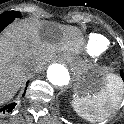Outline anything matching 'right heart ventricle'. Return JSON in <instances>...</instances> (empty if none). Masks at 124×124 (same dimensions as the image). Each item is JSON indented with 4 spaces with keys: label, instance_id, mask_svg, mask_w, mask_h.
Masks as SVG:
<instances>
[{
    "label": "right heart ventricle",
    "instance_id": "e07e8e85",
    "mask_svg": "<svg viewBox=\"0 0 124 124\" xmlns=\"http://www.w3.org/2000/svg\"><path fill=\"white\" fill-rule=\"evenodd\" d=\"M110 45V41L104 35L91 33L85 37L83 50L90 57L101 55Z\"/></svg>",
    "mask_w": 124,
    "mask_h": 124
}]
</instances>
